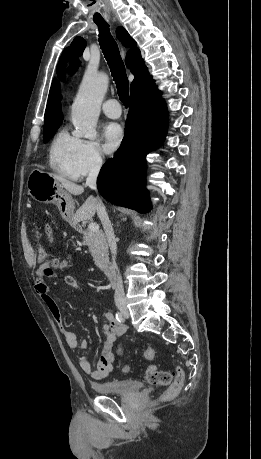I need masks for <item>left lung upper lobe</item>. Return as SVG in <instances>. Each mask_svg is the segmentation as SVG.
Returning a JSON list of instances; mask_svg holds the SVG:
<instances>
[{
    "instance_id": "left-lung-upper-lobe-1",
    "label": "left lung upper lobe",
    "mask_w": 261,
    "mask_h": 459,
    "mask_svg": "<svg viewBox=\"0 0 261 459\" xmlns=\"http://www.w3.org/2000/svg\"><path fill=\"white\" fill-rule=\"evenodd\" d=\"M82 52L83 50L81 48V38L77 37L73 40L71 46L63 51L60 62L58 64L57 72L61 80L65 79V62L71 58V67L68 69V71L73 74L79 65L78 58L81 56Z\"/></svg>"
}]
</instances>
